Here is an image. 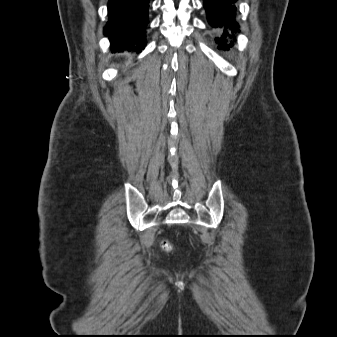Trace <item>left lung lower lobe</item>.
<instances>
[{
	"label": "left lung lower lobe",
	"instance_id": "0a47b994",
	"mask_svg": "<svg viewBox=\"0 0 337 337\" xmlns=\"http://www.w3.org/2000/svg\"><path fill=\"white\" fill-rule=\"evenodd\" d=\"M236 2L237 0H204L210 25L222 32L221 37H216V43L224 50L228 48L225 45L228 38L232 39L236 33L240 32L238 22L235 19ZM230 46H232V43Z\"/></svg>",
	"mask_w": 337,
	"mask_h": 337
}]
</instances>
